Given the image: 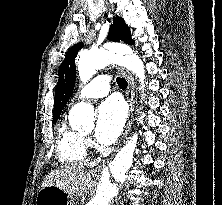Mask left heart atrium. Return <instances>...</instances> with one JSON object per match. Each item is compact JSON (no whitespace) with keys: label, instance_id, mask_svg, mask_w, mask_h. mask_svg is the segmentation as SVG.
Segmentation results:
<instances>
[{"label":"left heart atrium","instance_id":"1","mask_svg":"<svg viewBox=\"0 0 222 205\" xmlns=\"http://www.w3.org/2000/svg\"><path fill=\"white\" fill-rule=\"evenodd\" d=\"M126 120V109L123 102L111 97L98 108L95 137L101 144H112L121 134Z\"/></svg>","mask_w":222,"mask_h":205}]
</instances>
